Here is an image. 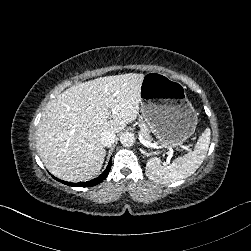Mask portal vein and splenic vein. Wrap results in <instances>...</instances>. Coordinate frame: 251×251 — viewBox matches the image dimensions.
I'll return each instance as SVG.
<instances>
[{
  "label": "portal vein and splenic vein",
  "mask_w": 251,
  "mask_h": 251,
  "mask_svg": "<svg viewBox=\"0 0 251 251\" xmlns=\"http://www.w3.org/2000/svg\"><path fill=\"white\" fill-rule=\"evenodd\" d=\"M139 141L141 144H143L146 147H150V148H165L166 150H168L165 153V157H164V162L167 165H170L171 163H173L176 159V153H175V146L171 143H168L167 141H147L143 138V136L141 134H139Z\"/></svg>",
  "instance_id": "1"
}]
</instances>
